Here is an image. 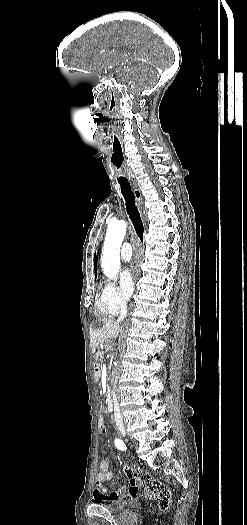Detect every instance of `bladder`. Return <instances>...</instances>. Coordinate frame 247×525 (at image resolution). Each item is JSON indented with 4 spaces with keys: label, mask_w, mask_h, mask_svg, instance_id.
I'll return each instance as SVG.
<instances>
[{
    "label": "bladder",
    "mask_w": 247,
    "mask_h": 525,
    "mask_svg": "<svg viewBox=\"0 0 247 525\" xmlns=\"http://www.w3.org/2000/svg\"><path fill=\"white\" fill-rule=\"evenodd\" d=\"M124 504L121 502H107L103 504V508L112 514H118L123 511Z\"/></svg>",
    "instance_id": "31cf9c89"
}]
</instances>
